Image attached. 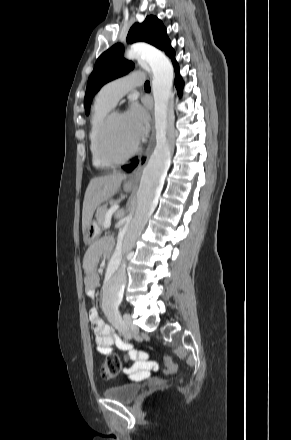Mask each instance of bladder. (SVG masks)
<instances>
[{
    "mask_svg": "<svg viewBox=\"0 0 291 440\" xmlns=\"http://www.w3.org/2000/svg\"><path fill=\"white\" fill-rule=\"evenodd\" d=\"M140 386L136 384H122L105 389L104 395L114 401L130 403L138 395Z\"/></svg>",
    "mask_w": 291,
    "mask_h": 440,
    "instance_id": "1",
    "label": "bladder"
}]
</instances>
